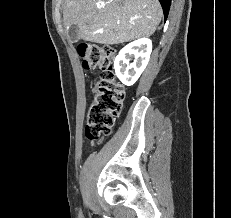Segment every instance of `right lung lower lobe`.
I'll return each mask as SVG.
<instances>
[{"mask_svg":"<svg viewBox=\"0 0 231 218\" xmlns=\"http://www.w3.org/2000/svg\"><path fill=\"white\" fill-rule=\"evenodd\" d=\"M159 2L161 3V6L163 8L164 18L166 20L169 13L171 0H159Z\"/></svg>","mask_w":231,"mask_h":218,"instance_id":"1","label":"right lung lower lobe"}]
</instances>
